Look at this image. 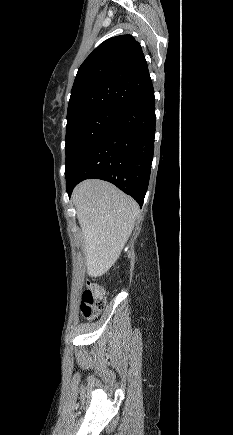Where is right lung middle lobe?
I'll return each mask as SVG.
<instances>
[{
	"mask_svg": "<svg viewBox=\"0 0 233 435\" xmlns=\"http://www.w3.org/2000/svg\"><path fill=\"white\" fill-rule=\"evenodd\" d=\"M121 113L118 110L101 108L67 119L65 176Z\"/></svg>",
	"mask_w": 233,
	"mask_h": 435,
	"instance_id": "right-lung-middle-lobe-1",
	"label": "right lung middle lobe"
}]
</instances>
